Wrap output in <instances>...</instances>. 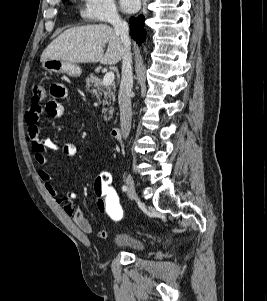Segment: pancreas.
Segmentation results:
<instances>
[{
	"mask_svg": "<svg viewBox=\"0 0 267 301\" xmlns=\"http://www.w3.org/2000/svg\"><path fill=\"white\" fill-rule=\"evenodd\" d=\"M86 88L92 95H99L102 92L104 93L103 106L108 105V108H103L102 113L104 114V120H110L111 116H107V112L111 115L113 113V104L115 101V84H111L108 86L103 85V82L100 78L95 76L94 74H90L89 77L86 78Z\"/></svg>",
	"mask_w": 267,
	"mask_h": 301,
	"instance_id": "cf45deb5",
	"label": "pancreas"
}]
</instances>
